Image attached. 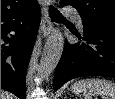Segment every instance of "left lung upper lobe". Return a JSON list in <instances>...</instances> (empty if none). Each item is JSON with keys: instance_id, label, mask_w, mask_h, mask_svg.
Returning <instances> with one entry per match:
<instances>
[{"instance_id": "left-lung-upper-lobe-1", "label": "left lung upper lobe", "mask_w": 115, "mask_h": 99, "mask_svg": "<svg viewBox=\"0 0 115 99\" xmlns=\"http://www.w3.org/2000/svg\"><path fill=\"white\" fill-rule=\"evenodd\" d=\"M60 4L77 9L84 25L115 32L114 0H61Z\"/></svg>"}]
</instances>
